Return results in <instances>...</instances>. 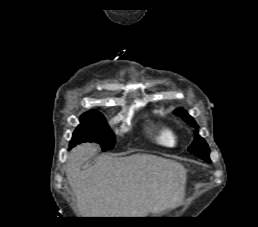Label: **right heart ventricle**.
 Returning <instances> with one entry per match:
<instances>
[{
  "label": "right heart ventricle",
  "instance_id": "obj_1",
  "mask_svg": "<svg viewBox=\"0 0 258 227\" xmlns=\"http://www.w3.org/2000/svg\"><path fill=\"white\" fill-rule=\"evenodd\" d=\"M152 139L159 145L174 147L177 144L178 136L175 130L166 123L156 122L148 128Z\"/></svg>",
  "mask_w": 258,
  "mask_h": 227
}]
</instances>
